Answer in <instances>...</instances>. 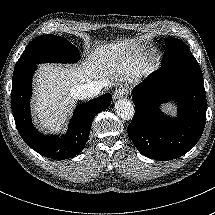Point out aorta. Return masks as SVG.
Wrapping results in <instances>:
<instances>
[{
	"label": "aorta",
	"instance_id": "762f6f07",
	"mask_svg": "<svg viewBox=\"0 0 215 215\" xmlns=\"http://www.w3.org/2000/svg\"><path fill=\"white\" fill-rule=\"evenodd\" d=\"M115 112L124 120L133 118L135 110L133 104L127 99H119L114 106Z\"/></svg>",
	"mask_w": 215,
	"mask_h": 215
}]
</instances>
